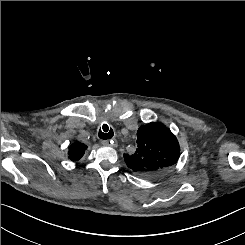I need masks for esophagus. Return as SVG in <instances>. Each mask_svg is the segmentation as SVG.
Here are the masks:
<instances>
[{
  "label": "esophagus",
  "mask_w": 245,
  "mask_h": 245,
  "mask_svg": "<svg viewBox=\"0 0 245 245\" xmlns=\"http://www.w3.org/2000/svg\"><path fill=\"white\" fill-rule=\"evenodd\" d=\"M101 143H102V145H104V146H109L110 143H111V141H109V140H102Z\"/></svg>",
  "instance_id": "1"
}]
</instances>
